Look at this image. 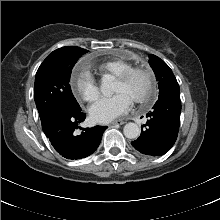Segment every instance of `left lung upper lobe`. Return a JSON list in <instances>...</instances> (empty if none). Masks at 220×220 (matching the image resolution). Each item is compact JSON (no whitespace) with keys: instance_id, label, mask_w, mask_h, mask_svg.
<instances>
[{"instance_id":"5c2ea615","label":"left lung upper lobe","mask_w":220,"mask_h":220,"mask_svg":"<svg viewBox=\"0 0 220 220\" xmlns=\"http://www.w3.org/2000/svg\"><path fill=\"white\" fill-rule=\"evenodd\" d=\"M149 64L158 81L159 98L180 95L178 82L169 66L155 55L150 56Z\"/></svg>"}]
</instances>
